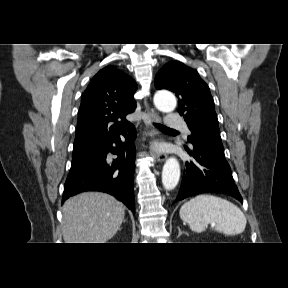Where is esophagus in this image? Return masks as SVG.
<instances>
[{
  "label": "esophagus",
  "mask_w": 288,
  "mask_h": 288,
  "mask_svg": "<svg viewBox=\"0 0 288 288\" xmlns=\"http://www.w3.org/2000/svg\"><path fill=\"white\" fill-rule=\"evenodd\" d=\"M144 104H145V106H146V108H147V119H146V121H145L146 124L151 125L152 123H158V122H160V117H159L157 114H155L153 111H151V110L148 109V105H147L146 100L144 101ZM152 134H153V135H157V134H158L157 130H156V129H153V130H152ZM154 157H155V159H156L157 161L163 162V161L166 160L167 155H166L165 153H161V152L156 151V152L154 153Z\"/></svg>",
  "instance_id": "obj_1"
}]
</instances>
